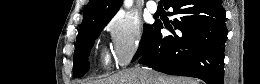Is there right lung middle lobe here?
<instances>
[{
  "label": "right lung middle lobe",
  "mask_w": 260,
  "mask_h": 84,
  "mask_svg": "<svg viewBox=\"0 0 260 84\" xmlns=\"http://www.w3.org/2000/svg\"><path fill=\"white\" fill-rule=\"evenodd\" d=\"M108 22L109 20L95 22L77 37L73 66V74L75 77H81L85 74L88 69V55L90 49L92 48L95 39L99 36L101 30ZM154 26L155 24L152 26L147 24L144 25L142 40L133 60L137 59L147 51L154 33Z\"/></svg>",
  "instance_id": "obj_1"
}]
</instances>
